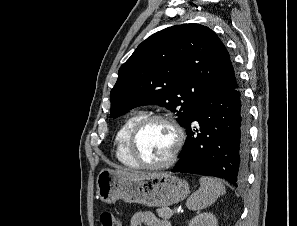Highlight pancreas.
<instances>
[{
	"label": "pancreas",
	"instance_id": "obj_1",
	"mask_svg": "<svg viewBox=\"0 0 297 226\" xmlns=\"http://www.w3.org/2000/svg\"><path fill=\"white\" fill-rule=\"evenodd\" d=\"M159 217L168 220L173 215V211L168 207H162L156 210Z\"/></svg>",
	"mask_w": 297,
	"mask_h": 226
}]
</instances>
